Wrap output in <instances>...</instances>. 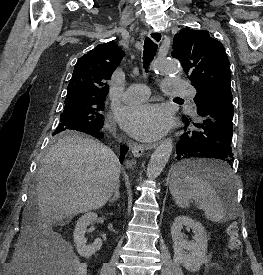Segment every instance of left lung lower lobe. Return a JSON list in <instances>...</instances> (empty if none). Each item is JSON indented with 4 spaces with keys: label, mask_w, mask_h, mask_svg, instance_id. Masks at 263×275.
I'll return each instance as SVG.
<instances>
[{
    "label": "left lung lower lobe",
    "mask_w": 263,
    "mask_h": 275,
    "mask_svg": "<svg viewBox=\"0 0 263 275\" xmlns=\"http://www.w3.org/2000/svg\"><path fill=\"white\" fill-rule=\"evenodd\" d=\"M233 113L231 91H220L205 99L197 107V114L202 117L201 123L196 124L191 119L183 117L186 128L176 144L175 159L184 161L189 158H215L221 159L225 166L229 167L234 161L231 150ZM185 171L180 165L175 174L181 175ZM197 174L220 183L224 170L202 168L198 169Z\"/></svg>",
    "instance_id": "obj_1"
}]
</instances>
